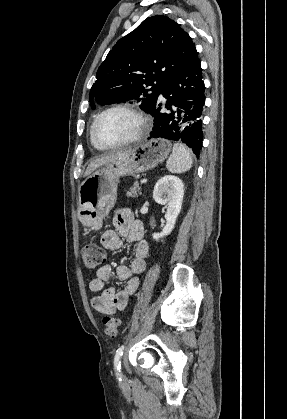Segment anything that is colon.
Here are the masks:
<instances>
[{
    "instance_id": "5ec220e1",
    "label": "colon",
    "mask_w": 287,
    "mask_h": 419,
    "mask_svg": "<svg viewBox=\"0 0 287 419\" xmlns=\"http://www.w3.org/2000/svg\"><path fill=\"white\" fill-rule=\"evenodd\" d=\"M84 264L88 270H97L102 267L106 260V252L96 243H87L82 249ZM105 333L109 337H115L118 334L120 320L113 316H105L103 318Z\"/></svg>"
}]
</instances>
